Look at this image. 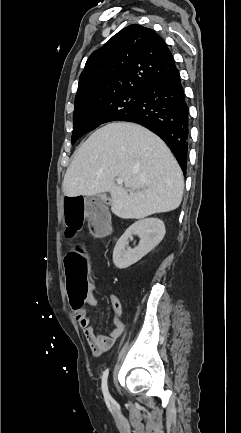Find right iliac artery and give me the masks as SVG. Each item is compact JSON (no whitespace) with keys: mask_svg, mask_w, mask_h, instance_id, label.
I'll return each mask as SVG.
<instances>
[{"mask_svg":"<svg viewBox=\"0 0 241 433\" xmlns=\"http://www.w3.org/2000/svg\"><path fill=\"white\" fill-rule=\"evenodd\" d=\"M108 373H109V369H106V370L103 372V376H102V385H101V387H102V392H103V395H104V398H105V401H106V402H108V401H110V400L112 399L111 396H110V394H109L108 386H107Z\"/></svg>","mask_w":241,"mask_h":433,"instance_id":"right-iliac-artery-1","label":"right iliac artery"}]
</instances>
